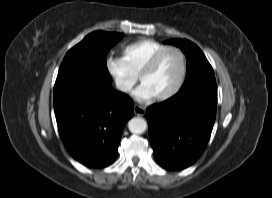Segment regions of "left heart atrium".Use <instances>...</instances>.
I'll use <instances>...</instances> for the list:
<instances>
[{"label": "left heart atrium", "instance_id": "obj_1", "mask_svg": "<svg viewBox=\"0 0 272 198\" xmlns=\"http://www.w3.org/2000/svg\"><path fill=\"white\" fill-rule=\"evenodd\" d=\"M133 95L139 101H146L154 98L150 90L144 84H140L135 89Z\"/></svg>", "mask_w": 272, "mask_h": 198}]
</instances>
